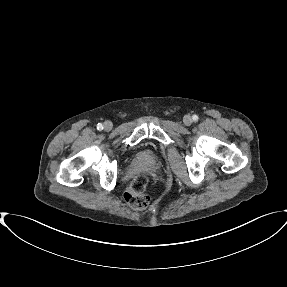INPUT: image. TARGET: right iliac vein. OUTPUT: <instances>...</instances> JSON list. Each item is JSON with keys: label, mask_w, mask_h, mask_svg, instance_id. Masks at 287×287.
I'll return each instance as SVG.
<instances>
[{"label": "right iliac vein", "mask_w": 287, "mask_h": 287, "mask_svg": "<svg viewBox=\"0 0 287 287\" xmlns=\"http://www.w3.org/2000/svg\"><path fill=\"white\" fill-rule=\"evenodd\" d=\"M111 128H112V123L109 122V121H106V122L104 123V129H105V130H110Z\"/></svg>", "instance_id": "63e3f726"}]
</instances>
